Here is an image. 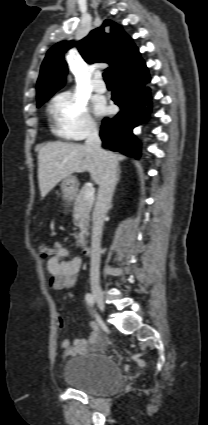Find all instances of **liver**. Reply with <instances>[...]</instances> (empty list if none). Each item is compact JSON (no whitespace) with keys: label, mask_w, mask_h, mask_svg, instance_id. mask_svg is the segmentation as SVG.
Here are the masks:
<instances>
[{"label":"liver","mask_w":208,"mask_h":425,"mask_svg":"<svg viewBox=\"0 0 208 425\" xmlns=\"http://www.w3.org/2000/svg\"><path fill=\"white\" fill-rule=\"evenodd\" d=\"M113 154V153H112ZM117 161L125 159L113 154ZM88 171L99 184L104 171L103 160L86 145L66 142H49L38 151V181L44 198L61 180L72 173Z\"/></svg>","instance_id":"liver-1"}]
</instances>
